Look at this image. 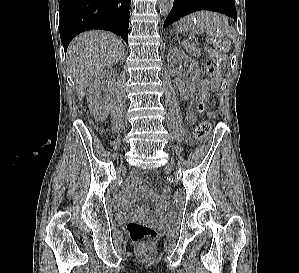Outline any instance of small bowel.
<instances>
[{"mask_svg": "<svg viewBox=\"0 0 299 273\" xmlns=\"http://www.w3.org/2000/svg\"><path fill=\"white\" fill-rule=\"evenodd\" d=\"M148 198L155 203L156 216L158 220H168L173 217V212L169 209L168 198L169 189L163 188L162 191L157 194L147 188L139 179L134 180V189L125 191L122 193L119 202V208L123 216H133L135 218H147L153 220L149 215V207L142 205L134 212H130L128 205L140 198Z\"/></svg>", "mask_w": 299, "mask_h": 273, "instance_id": "1", "label": "small bowel"}]
</instances>
